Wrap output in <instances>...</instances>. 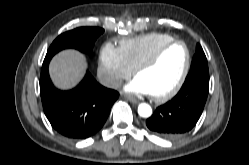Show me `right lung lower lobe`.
<instances>
[{
  "mask_svg": "<svg viewBox=\"0 0 249 165\" xmlns=\"http://www.w3.org/2000/svg\"><path fill=\"white\" fill-rule=\"evenodd\" d=\"M51 58L45 57L40 75L44 113L60 134L73 139L88 138L102 128L119 93L97 83L89 71L76 88L56 89L48 74Z\"/></svg>",
  "mask_w": 249,
  "mask_h": 165,
  "instance_id": "98d812e1",
  "label": "right lung lower lobe"
}]
</instances>
